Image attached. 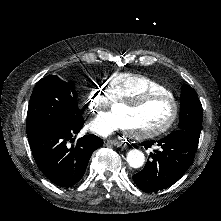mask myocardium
Instances as JSON below:
<instances>
[{"instance_id": "f54148a6", "label": "myocardium", "mask_w": 221, "mask_h": 221, "mask_svg": "<svg viewBox=\"0 0 221 221\" xmlns=\"http://www.w3.org/2000/svg\"><path fill=\"white\" fill-rule=\"evenodd\" d=\"M157 100H164L165 104L167 105V110L169 112L167 119L163 120V122L160 124L154 125V127L149 126L135 130V137L144 139L161 137L163 136V134L167 133L169 129H171L172 125L176 121L178 115V107L174 101L173 96L165 92H153L147 95V97L142 96L137 98V100L132 99L130 100L129 105L130 108H139L142 105L148 104V102L153 103Z\"/></svg>"}]
</instances>
